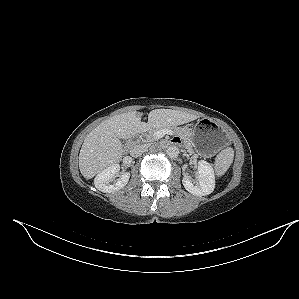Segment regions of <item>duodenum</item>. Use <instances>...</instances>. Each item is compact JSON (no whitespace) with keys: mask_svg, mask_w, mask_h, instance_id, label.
Masks as SVG:
<instances>
[{"mask_svg":"<svg viewBox=\"0 0 299 299\" xmlns=\"http://www.w3.org/2000/svg\"><path fill=\"white\" fill-rule=\"evenodd\" d=\"M133 143H134V142H133V141H131V142L128 144V147H129V146H132V145H133Z\"/></svg>","mask_w":299,"mask_h":299,"instance_id":"410a0bca","label":"duodenum"}]
</instances>
